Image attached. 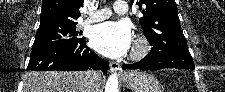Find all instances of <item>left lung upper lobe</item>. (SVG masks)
Returning a JSON list of instances; mask_svg holds the SVG:
<instances>
[{
  "mask_svg": "<svg viewBox=\"0 0 225 92\" xmlns=\"http://www.w3.org/2000/svg\"><path fill=\"white\" fill-rule=\"evenodd\" d=\"M139 6L140 25L154 51L188 50L175 0H130Z\"/></svg>",
  "mask_w": 225,
  "mask_h": 92,
  "instance_id": "5c2ea615",
  "label": "left lung upper lobe"
}]
</instances>
